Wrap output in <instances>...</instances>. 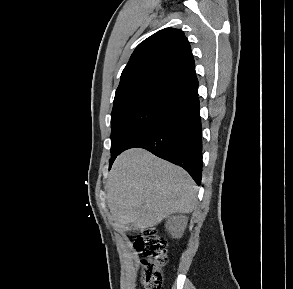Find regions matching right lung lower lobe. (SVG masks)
Masks as SVG:
<instances>
[{"label": "right lung lower lobe", "instance_id": "98d812e1", "mask_svg": "<svg viewBox=\"0 0 293 289\" xmlns=\"http://www.w3.org/2000/svg\"><path fill=\"white\" fill-rule=\"evenodd\" d=\"M144 148L154 155L184 168L200 184L202 177V129L198 95L176 105L157 118L115 153L129 148Z\"/></svg>", "mask_w": 293, "mask_h": 289}]
</instances>
